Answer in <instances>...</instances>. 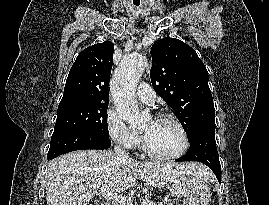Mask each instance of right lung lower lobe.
Listing matches in <instances>:
<instances>
[{"label": "right lung lower lobe", "mask_w": 269, "mask_h": 205, "mask_svg": "<svg viewBox=\"0 0 269 205\" xmlns=\"http://www.w3.org/2000/svg\"><path fill=\"white\" fill-rule=\"evenodd\" d=\"M111 146L109 137L78 129L54 131L51 137L48 160L75 150L108 149Z\"/></svg>", "instance_id": "obj_1"}]
</instances>
